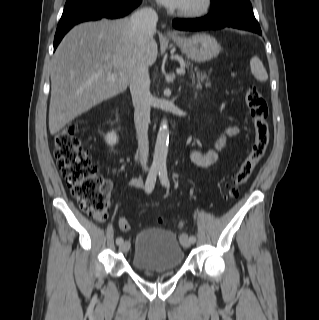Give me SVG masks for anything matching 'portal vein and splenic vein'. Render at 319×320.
<instances>
[{"instance_id":"18ae733b","label":"portal vein and splenic vein","mask_w":319,"mask_h":320,"mask_svg":"<svg viewBox=\"0 0 319 320\" xmlns=\"http://www.w3.org/2000/svg\"><path fill=\"white\" fill-rule=\"evenodd\" d=\"M176 72L178 73V74H182V75H184L185 74V69H184V67H181V68H178L177 70H176ZM116 77V75H111V76H109V80H113L114 78Z\"/></svg>"}]
</instances>
